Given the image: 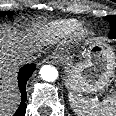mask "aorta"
<instances>
[{
  "label": "aorta",
  "instance_id": "obj_1",
  "mask_svg": "<svg viewBox=\"0 0 116 116\" xmlns=\"http://www.w3.org/2000/svg\"><path fill=\"white\" fill-rule=\"evenodd\" d=\"M41 78L47 82L55 81L58 77V71L55 67L44 65L40 69Z\"/></svg>",
  "mask_w": 116,
  "mask_h": 116
}]
</instances>
